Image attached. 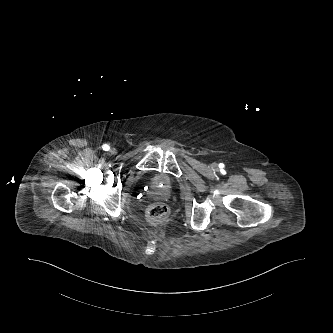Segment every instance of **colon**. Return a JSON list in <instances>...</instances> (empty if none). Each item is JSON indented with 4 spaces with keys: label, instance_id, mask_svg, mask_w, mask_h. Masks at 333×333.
Segmentation results:
<instances>
[{
    "label": "colon",
    "instance_id": "obj_1",
    "mask_svg": "<svg viewBox=\"0 0 333 333\" xmlns=\"http://www.w3.org/2000/svg\"><path fill=\"white\" fill-rule=\"evenodd\" d=\"M168 214V208L163 203H156L152 205L148 210V217L153 222H160L166 218Z\"/></svg>",
    "mask_w": 333,
    "mask_h": 333
}]
</instances>
